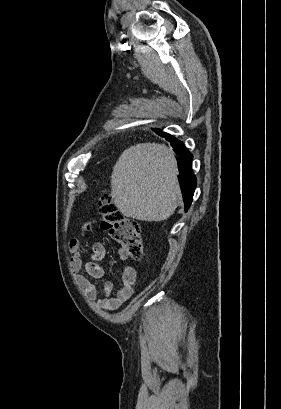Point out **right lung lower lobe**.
Here are the masks:
<instances>
[{
    "mask_svg": "<svg viewBox=\"0 0 281 409\" xmlns=\"http://www.w3.org/2000/svg\"><path fill=\"white\" fill-rule=\"evenodd\" d=\"M159 133L158 130H156ZM163 137H165L170 143L171 146L174 148L175 153L178 155L179 159L178 162V169L180 173V178L182 181L181 189H182V196L185 205V211L191 205L193 194L196 187V177L192 171V154L185 148L183 143L173 136L163 133Z\"/></svg>",
    "mask_w": 281,
    "mask_h": 409,
    "instance_id": "1",
    "label": "right lung lower lobe"
}]
</instances>
